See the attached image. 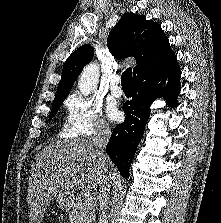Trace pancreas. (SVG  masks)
<instances>
[{"label": "pancreas", "instance_id": "1", "mask_svg": "<svg viewBox=\"0 0 221 223\" xmlns=\"http://www.w3.org/2000/svg\"><path fill=\"white\" fill-rule=\"evenodd\" d=\"M70 223H94L95 205H86L85 200L76 202L69 211Z\"/></svg>", "mask_w": 221, "mask_h": 223}]
</instances>
